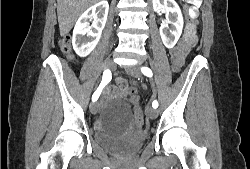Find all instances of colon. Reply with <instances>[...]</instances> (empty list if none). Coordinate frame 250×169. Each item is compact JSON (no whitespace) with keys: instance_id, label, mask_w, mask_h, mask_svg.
Returning <instances> with one entry per match:
<instances>
[{"instance_id":"1","label":"colon","mask_w":250,"mask_h":169,"mask_svg":"<svg viewBox=\"0 0 250 169\" xmlns=\"http://www.w3.org/2000/svg\"><path fill=\"white\" fill-rule=\"evenodd\" d=\"M183 3V10L184 15H188L187 23L189 25H196V18L195 14H192V10H190V5L188 3H184L185 1H182ZM70 34H63L62 38L59 40V49L60 52L65 54L66 56H70L71 54V39ZM197 37H196V29L195 27H188L186 31V38L185 40L189 43H195ZM180 65L177 62H172L171 64V72H174V74H179L180 72ZM127 95H132V102H135L134 105V116L133 119L135 120V125L138 129H142L144 126L143 120L145 119V116L143 115V112L141 111V97L138 96L137 92H134V90H127Z\"/></svg>"}]
</instances>
